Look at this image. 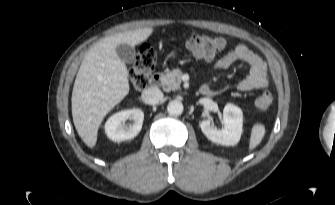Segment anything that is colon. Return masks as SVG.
Wrapping results in <instances>:
<instances>
[{
	"label": "colon",
	"instance_id": "obj_1",
	"mask_svg": "<svg viewBox=\"0 0 335 205\" xmlns=\"http://www.w3.org/2000/svg\"><path fill=\"white\" fill-rule=\"evenodd\" d=\"M187 49L198 59L211 60L217 57L226 47V41L221 37L191 36L186 41ZM156 65V53L148 45L140 48L130 74V82L134 89L142 90L150 83L151 74ZM273 97L265 91L255 99L259 109L266 110L271 107Z\"/></svg>",
	"mask_w": 335,
	"mask_h": 205
}]
</instances>
